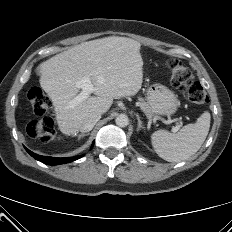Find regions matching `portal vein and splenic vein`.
<instances>
[{"label": "portal vein and splenic vein", "instance_id": "portal-vein-and-splenic-vein-1", "mask_svg": "<svg viewBox=\"0 0 232 232\" xmlns=\"http://www.w3.org/2000/svg\"><path fill=\"white\" fill-rule=\"evenodd\" d=\"M75 86L79 89H82V91L76 97L69 101V107H75L76 105L85 101L88 97H90V94L94 91V87L88 77H84L80 80H77L75 82ZM167 122L172 123L174 122V120H168ZM179 129L180 125H176L172 128L171 131L173 133H176Z\"/></svg>", "mask_w": 232, "mask_h": 232}]
</instances>
